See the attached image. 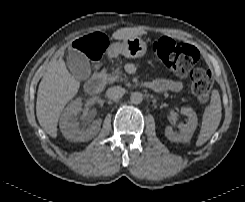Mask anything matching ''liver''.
Wrapping results in <instances>:
<instances>
[{
    "instance_id": "liver-1",
    "label": "liver",
    "mask_w": 245,
    "mask_h": 202,
    "mask_svg": "<svg viewBox=\"0 0 245 202\" xmlns=\"http://www.w3.org/2000/svg\"><path fill=\"white\" fill-rule=\"evenodd\" d=\"M143 34L146 32L140 28H121L112 37L125 40ZM79 88V81L69 73L61 58L53 62L43 76L37 93L36 115L40 126L52 138L57 137V125L64 107Z\"/></svg>"
}]
</instances>
